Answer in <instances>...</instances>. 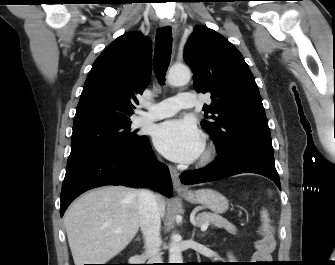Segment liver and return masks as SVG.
Instances as JSON below:
<instances>
[{"label": "liver", "mask_w": 335, "mask_h": 265, "mask_svg": "<svg viewBox=\"0 0 335 265\" xmlns=\"http://www.w3.org/2000/svg\"><path fill=\"white\" fill-rule=\"evenodd\" d=\"M138 194L124 186H105L68 208L64 226L75 265L105 264L131 242L140 226ZM155 197L164 216L165 200Z\"/></svg>", "instance_id": "liver-1"}]
</instances>
